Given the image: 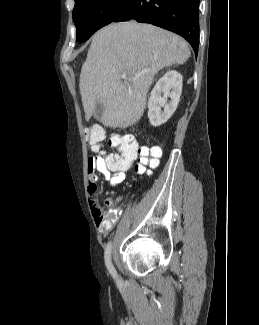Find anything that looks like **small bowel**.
I'll use <instances>...</instances> for the list:
<instances>
[{
    "label": "small bowel",
    "mask_w": 259,
    "mask_h": 325,
    "mask_svg": "<svg viewBox=\"0 0 259 325\" xmlns=\"http://www.w3.org/2000/svg\"><path fill=\"white\" fill-rule=\"evenodd\" d=\"M153 148L160 149L157 146H153ZM118 162L119 158L116 154L100 155L88 159L89 201L92 205V212L97 227L101 233H105L112 228L114 221L117 219V215L114 210L110 214H107L104 207L98 201L96 195L97 174H102L111 186H116L122 183L126 177V173L132 167L134 161L126 167H120ZM119 200L120 197L116 199L108 197L105 200V205L114 208Z\"/></svg>",
    "instance_id": "obj_1"
}]
</instances>
